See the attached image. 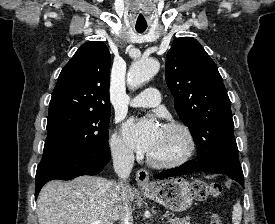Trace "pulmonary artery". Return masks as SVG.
<instances>
[{
	"mask_svg": "<svg viewBox=\"0 0 275 224\" xmlns=\"http://www.w3.org/2000/svg\"><path fill=\"white\" fill-rule=\"evenodd\" d=\"M160 102V92L156 88H147L139 95L131 99L133 107H155Z\"/></svg>",
	"mask_w": 275,
	"mask_h": 224,
	"instance_id": "pulmonary-artery-1",
	"label": "pulmonary artery"
}]
</instances>
